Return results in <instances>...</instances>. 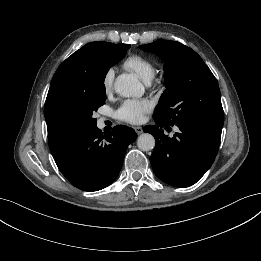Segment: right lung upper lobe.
Here are the masks:
<instances>
[{
  "instance_id": "right-lung-upper-lobe-1",
  "label": "right lung upper lobe",
  "mask_w": 261,
  "mask_h": 261,
  "mask_svg": "<svg viewBox=\"0 0 261 261\" xmlns=\"http://www.w3.org/2000/svg\"><path fill=\"white\" fill-rule=\"evenodd\" d=\"M113 43L92 42L68 57L55 72L45 102L47 128L53 107L62 99L78 96L93 87V67L98 56L110 51ZM51 150V149H50ZM62 151H52L53 156Z\"/></svg>"
}]
</instances>
